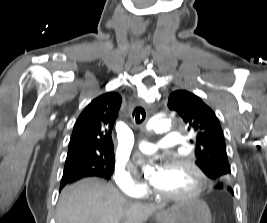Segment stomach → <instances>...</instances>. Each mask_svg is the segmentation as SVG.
I'll return each instance as SVG.
<instances>
[{
	"label": "stomach",
	"instance_id": "0dacf381",
	"mask_svg": "<svg viewBox=\"0 0 267 223\" xmlns=\"http://www.w3.org/2000/svg\"><path fill=\"white\" fill-rule=\"evenodd\" d=\"M160 223H211V212L206 202L193 198L176 202L157 214Z\"/></svg>",
	"mask_w": 267,
	"mask_h": 223
}]
</instances>
